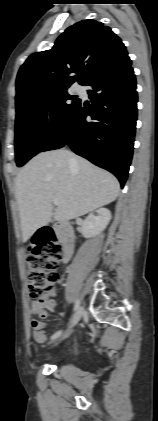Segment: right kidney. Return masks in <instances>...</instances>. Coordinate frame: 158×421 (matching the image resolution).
Returning <instances> with one entry per match:
<instances>
[{
    "mask_svg": "<svg viewBox=\"0 0 158 421\" xmlns=\"http://www.w3.org/2000/svg\"><path fill=\"white\" fill-rule=\"evenodd\" d=\"M111 212L106 208H100L90 213L82 224V234L85 238L99 235L109 224Z\"/></svg>",
    "mask_w": 158,
    "mask_h": 421,
    "instance_id": "obj_1",
    "label": "right kidney"
}]
</instances>
